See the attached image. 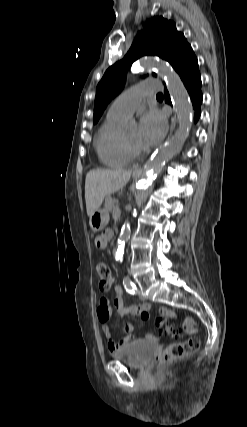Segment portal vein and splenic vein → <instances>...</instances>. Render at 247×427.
I'll return each mask as SVG.
<instances>
[{
	"label": "portal vein and splenic vein",
	"mask_w": 247,
	"mask_h": 427,
	"mask_svg": "<svg viewBox=\"0 0 247 427\" xmlns=\"http://www.w3.org/2000/svg\"><path fill=\"white\" fill-rule=\"evenodd\" d=\"M114 202H115V203H118V199H115V200H114Z\"/></svg>",
	"instance_id": "obj_1"
}]
</instances>
